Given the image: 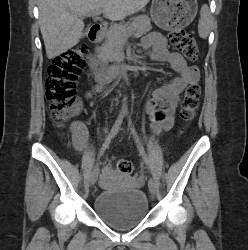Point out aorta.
<instances>
[{"instance_id":"obj_1","label":"aorta","mask_w":248,"mask_h":250,"mask_svg":"<svg viewBox=\"0 0 248 250\" xmlns=\"http://www.w3.org/2000/svg\"><path fill=\"white\" fill-rule=\"evenodd\" d=\"M127 111H128L127 98H124L122 102V112L126 113Z\"/></svg>"}]
</instances>
